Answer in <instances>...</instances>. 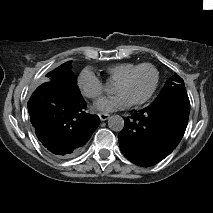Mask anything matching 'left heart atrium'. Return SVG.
Segmentation results:
<instances>
[{
  "label": "left heart atrium",
  "mask_w": 213,
  "mask_h": 213,
  "mask_svg": "<svg viewBox=\"0 0 213 213\" xmlns=\"http://www.w3.org/2000/svg\"><path fill=\"white\" fill-rule=\"evenodd\" d=\"M129 100L123 96L122 94H117L112 97L103 99L99 101L95 108L99 111L109 113L113 111L120 110L126 106H128Z\"/></svg>",
  "instance_id": "39dd6f15"
}]
</instances>
